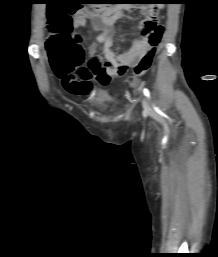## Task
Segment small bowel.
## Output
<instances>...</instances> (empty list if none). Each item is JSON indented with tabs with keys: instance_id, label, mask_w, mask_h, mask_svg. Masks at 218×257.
<instances>
[{
	"instance_id": "small-bowel-1",
	"label": "small bowel",
	"mask_w": 218,
	"mask_h": 257,
	"mask_svg": "<svg viewBox=\"0 0 218 257\" xmlns=\"http://www.w3.org/2000/svg\"><path fill=\"white\" fill-rule=\"evenodd\" d=\"M128 18L137 20L133 6H118L103 12L99 8H80L73 14L72 24L76 29L89 26L90 32H99L90 44L88 52L89 67L77 69L69 78L62 79L64 88L74 95H89L93 91L92 79L99 85L106 86L111 79L122 76L130 67H135L151 45L147 35L136 38L129 49L118 53L114 50V30L112 19ZM99 44L104 52H96Z\"/></svg>"
}]
</instances>
